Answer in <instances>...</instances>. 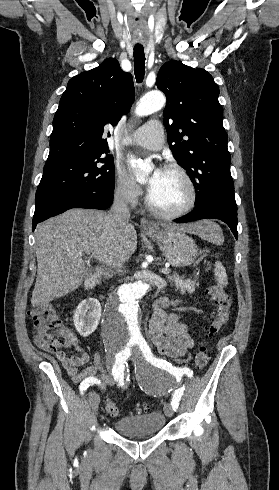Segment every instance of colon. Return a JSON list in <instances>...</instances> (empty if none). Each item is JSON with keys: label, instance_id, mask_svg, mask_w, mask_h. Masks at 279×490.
Listing matches in <instances>:
<instances>
[{"label": "colon", "instance_id": "1", "mask_svg": "<svg viewBox=\"0 0 279 490\" xmlns=\"http://www.w3.org/2000/svg\"><path fill=\"white\" fill-rule=\"evenodd\" d=\"M208 295L215 301L217 313L207 330L205 337L201 340L194 357V363L197 368H204L209 360L207 350V340L226 326L230 319L232 301L227 293L219 284H212L208 288ZM29 315L35 321V331L40 349L58 351L69 349V341H74L73 330L64 328L57 317L56 312L48 305L37 306L30 310ZM105 411L111 416L119 414V408L116 404L107 399L104 405ZM150 407L144 405V410L148 411Z\"/></svg>", "mask_w": 279, "mask_h": 490}]
</instances>
